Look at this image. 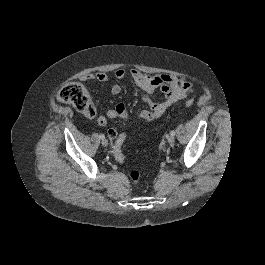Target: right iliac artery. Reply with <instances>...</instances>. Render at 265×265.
I'll list each match as a JSON object with an SVG mask.
<instances>
[{"label":"right iliac artery","mask_w":265,"mask_h":265,"mask_svg":"<svg viewBox=\"0 0 265 265\" xmlns=\"http://www.w3.org/2000/svg\"><path fill=\"white\" fill-rule=\"evenodd\" d=\"M99 138H100V139H104L105 136H104L103 134H100V135H99Z\"/></svg>","instance_id":"1"}]
</instances>
